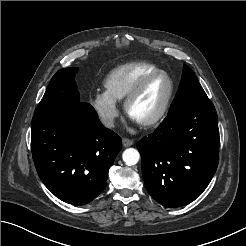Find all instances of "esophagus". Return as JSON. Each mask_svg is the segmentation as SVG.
I'll return each instance as SVG.
<instances>
[{
    "mask_svg": "<svg viewBox=\"0 0 246 246\" xmlns=\"http://www.w3.org/2000/svg\"><path fill=\"white\" fill-rule=\"evenodd\" d=\"M122 144L124 147H129L133 145V141L128 139V138H123L122 139Z\"/></svg>",
    "mask_w": 246,
    "mask_h": 246,
    "instance_id": "1",
    "label": "esophagus"
}]
</instances>
